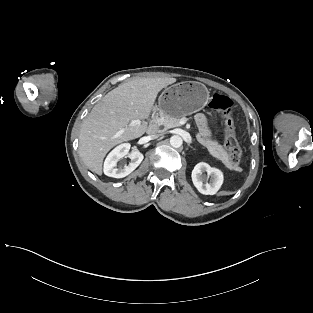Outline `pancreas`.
Returning a JSON list of instances; mask_svg holds the SVG:
<instances>
[{"label":"pancreas","instance_id":"1","mask_svg":"<svg viewBox=\"0 0 313 313\" xmlns=\"http://www.w3.org/2000/svg\"><path fill=\"white\" fill-rule=\"evenodd\" d=\"M179 122H180V117L170 116L168 114L160 115L159 124L163 125L165 130L180 126ZM196 139L200 144H202L204 147L207 148L209 153L214 158L221 161L228 169L236 170V171L241 170L236 164H234L230 160L228 153L220 144H218V142L204 139L199 134L196 135Z\"/></svg>","mask_w":313,"mask_h":313}]
</instances>
